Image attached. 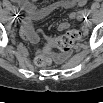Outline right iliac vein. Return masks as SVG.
Wrapping results in <instances>:
<instances>
[{"instance_id":"right-iliac-vein-1","label":"right iliac vein","mask_w":103,"mask_h":103,"mask_svg":"<svg viewBox=\"0 0 103 103\" xmlns=\"http://www.w3.org/2000/svg\"><path fill=\"white\" fill-rule=\"evenodd\" d=\"M14 18H15V16H14V15H11V16L9 17V19H10L11 21H13V20H14Z\"/></svg>"}]
</instances>
